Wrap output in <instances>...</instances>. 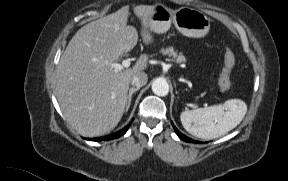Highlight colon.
Returning a JSON list of instances; mask_svg holds the SVG:
<instances>
[{
    "label": "colon",
    "instance_id": "colon-1",
    "mask_svg": "<svg viewBox=\"0 0 288 181\" xmlns=\"http://www.w3.org/2000/svg\"><path fill=\"white\" fill-rule=\"evenodd\" d=\"M235 68V55L226 50L223 55V67L218 75L220 94L226 93L231 88V75Z\"/></svg>",
    "mask_w": 288,
    "mask_h": 181
}]
</instances>
